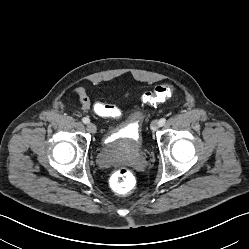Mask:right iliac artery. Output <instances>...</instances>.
I'll list each match as a JSON object with an SVG mask.
<instances>
[{"mask_svg":"<svg viewBox=\"0 0 249 249\" xmlns=\"http://www.w3.org/2000/svg\"><path fill=\"white\" fill-rule=\"evenodd\" d=\"M82 121H83V123L87 124V123L90 122V119L87 118V117H84V118L82 119Z\"/></svg>","mask_w":249,"mask_h":249,"instance_id":"1","label":"right iliac artery"}]
</instances>
